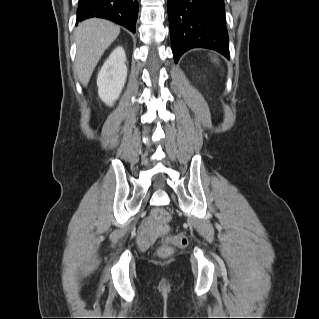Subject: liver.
Returning a JSON list of instances; mask_svg holds the SVG:
<instances>
[{
	"instance_id": "1",
	"label": "liver",
	"mask_w": 319,
	"mask_h": 319,
	"mask_svg": "<svg viewBox=\"0 0 319 319\" xmlns=\"http://www.w3.org/2000/svg\"><path fill=\"white\" fill-rule=\"evenodd\" d=\"M119 33L118 25L104 19L92 18L78 25L75 30V71L83 86L88 84L101 56Z\"/></svg>"
}]
</instances>
